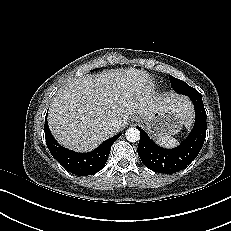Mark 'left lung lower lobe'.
<instances>
[{"label": "left lung lower lobe", "instance_id": "obj_1", "mask_svg": "<svg viewBox=\"0 0 231 231\" xmlns=\"http://www.w3.org/2000/svg\"><path fill=\"white\" fill-rule=\"evenodd\" d=\"M196 119L188 137L176 148L164 149L155 144L139 127L138 154L143 164L154 172L172 174L187 167L199 154L206 137V112L201 95H191Z\"/></svg>", "mask_w": 231, "mask_h": 231}]
</instances>
